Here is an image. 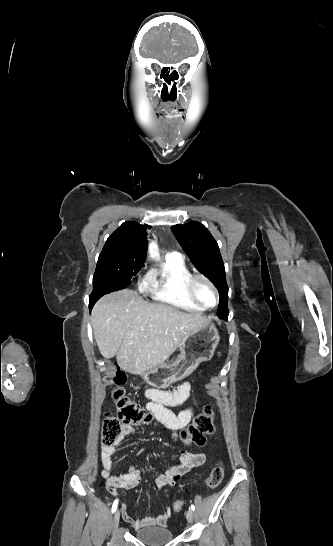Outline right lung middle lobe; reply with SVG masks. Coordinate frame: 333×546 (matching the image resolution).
<instances>
[{
  "label": "right lung middle lobe",
  "instance_id": "dd1d6c3e",
  "mask_svg": "<svg viewBox=\"0 0 333 546\" xmlns=\"http://www.w3.org/2000/svg\"><path fill=\"white\" fill-rule=\"evenodd\" d=\"M139 270L131 269L123 258L99 256L90 301L96 302L107 293L126 288Z\"/></svg>",
  "mask_w": 333,
  "mask_h": 546
}]
</instances>
